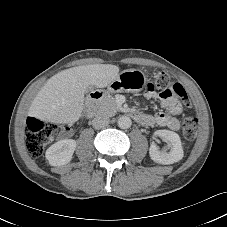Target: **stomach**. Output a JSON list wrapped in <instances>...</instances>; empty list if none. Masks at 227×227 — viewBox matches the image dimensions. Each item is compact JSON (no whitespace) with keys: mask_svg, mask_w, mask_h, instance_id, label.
<instances>
[{"mask_svg":"<svg viewBox=\"0 0 227 227\" xmlns=\"http://www.w3.org/2000/svg\"><path fill=\"white\" fill-rule=\"evenodd\" d=\"M147 78L144 73L137 69H128L122 71L108 85V93L130 92L136 93L143 90L146 86Z\"/></svg>","mask_w":227,"mask_h":227,"instance_id":"stomach-1","label":"stomach"}]
</instances>
